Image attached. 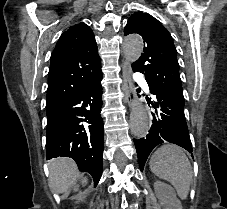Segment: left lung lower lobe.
Returning <instances> with one entry per match:
<instances>
[{
    "instance_id": "obj_1",
    "label": "left lung lower lobe",
    "mask_w": 227,
    "mask_h": 209,
    "mask_svg": "<svg viewBox=\"0 0 227 209\" xmlns=\"http://www.w3.org/2000/svg\"><path fill=\"white\" fill-rule=\"evenodd\" d=\"M150 93L155 98V101L151 102L152 106L159 110L152 113V126L147 136L134 139L141 171H143L151 151L164 142L179 145L192 153V144L184 115V104L152 90Z\"/></svg>"
}]
</instances>
